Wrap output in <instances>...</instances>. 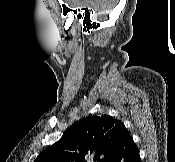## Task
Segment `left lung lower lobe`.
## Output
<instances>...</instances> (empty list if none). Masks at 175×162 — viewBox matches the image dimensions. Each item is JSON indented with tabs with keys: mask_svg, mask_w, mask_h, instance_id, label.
<instances>
[{
	"mask_svg": "<svg viewBox=\"0 0 175 162\" xmlns=\"http://www.w3.org/2000/svg\"><path fill=\"white\" fill-rule=\"evenodd\" d=\"M109 162H140L138 149L129 132L123 135Z\"/></svg>",
	"mask_w": 175,
	"mask_h": 162,
	"instance_id": "left-lung-lower-lobe-1",
	"label": "left lung lower lobe"
}]
</instances>
